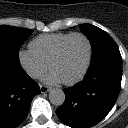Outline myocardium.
I'll return each mask as SVG.
<instances>
[{
  "mask_svg": "<svg viewBox=\"0 0 128 128\" xmlns=\"http://www.w3.org/2000/svg\"><path fill=\"white\" fill-rule=\"evenodd\" d=\"M73 37H82L86 41V43H87V58H86V62H85L83 69L75 78L68 80V81H62V83L66 86H71V85H74V84L78 83L79 81H81L84 78V76L86 75V73L90 67L91 60H92V52L93 51H92V43H91L90 38L84 33L74 32V33H71L69 36H67L58 46L55 54L53 55V57L51 58V60L48 63L49 70H51L52 66L60 59V57L63 53L64 47L66 46L67 42Z\"/></svg>",
  "mask_w": 128,
  "mask_h": 128,
  "instance_id": "myocardium-1",
  "label": "myocardium"
}]
</instances>
